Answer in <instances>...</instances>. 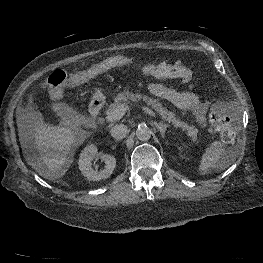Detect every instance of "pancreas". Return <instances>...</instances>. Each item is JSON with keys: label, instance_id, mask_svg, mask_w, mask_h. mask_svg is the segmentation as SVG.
I'll use <instances>...</instances> for the list:
<instances>
[{"label": "pancreas", "instance_id": "1", "mask_svg": "<svg viewBox=\"0 0 263 263\" xmlns=\"http://www.w3.org/2000/svg\"><path fill=\"white\" fill-rule=\"evenodd\" d=\"M131 100L134 101H143L148 106H151L157 113H159L162 118L167 120L169 123L174 124L176 127L183 129L187 135L191 138L193 142L197 140L198 129L194 126H189L187 123L180 121L176 118L175 114L171 111H168L163 105L160 103L159 99H152L147 95H142L140 93H132L129 91H124L118 93L114 98V102L109 106L107 110V115L110 114L119 104H125Z\"/></svg>", "mask_w": 263, "mask_h": 263}]
</instances>
